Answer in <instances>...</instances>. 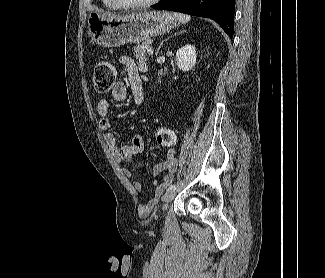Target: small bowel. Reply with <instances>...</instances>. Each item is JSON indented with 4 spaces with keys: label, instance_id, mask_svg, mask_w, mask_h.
Here are the masks:
<instances>
[{
    "label": "small bowel",
    "instance_id": "1",
    "mask_svg": "<svg viewBox=\"0 0 325 278\" xmlns=\"http://www.w3.org/2000/svg\"><path fill=\"white\" fill-rule=\"evenodd\" d=\"M118 64L126 70L128 86L132 93L133 103L134 105L139 106L143 101V81L141 73L146 69V65L143 61L136 60L130 56L119 57ZM127 92V85L124 82L119 81L113 88L112 98L116 102H123L127 98ZM97 111L100 116L99 128L103 131L108 130L111 126V119L109 116V102L107 99L103 98L99 100ZM104 139L109 149L121 164L131 162L144 149V138L140 133L135 134L131 142L125 145H119L117 137L113 133H106ZM176 165L175 139V143L172 146H169L165 160L149 169V173L153 176L165 172L162 180L155 182L154 196L161 195L164 189L173 181V173L176 169ZM122 171L129 178L133 176L132 170L126 166H122ZM134 187L140 191L143 188V184L141 181H135Z\"/></svg>",
    "mask_w": 325,
    "mask_h": 278
}]
</instances>
